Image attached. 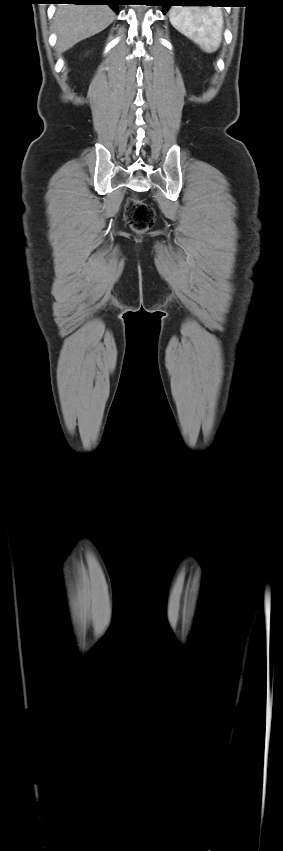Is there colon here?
<instances>
[{
  "mask_svg": "<svg viewBox=\"0 0 283 851\" xmlns=\"http://www.w3.org/2000/svg\"><path fill=\"white\" fill-rule=\"evenodd\" d=\"M124 218L135 232L142 233L153 226L155 212L147 203L132 197L126 203Z\"/></svg>",
  "mask_w": 283,
  "mask_h": 851,
  "instance_id": "1",
  "label": "colon"
}]
</instances>
